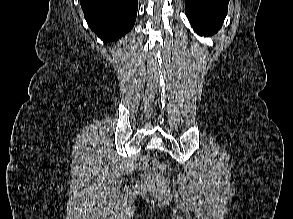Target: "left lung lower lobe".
I'll return each instance as SVG.
<instances>
[{"label":"left lung lower lobe","instance_id":"0a47b994","mask_svg":"<svg viewBox=\"0 0 293 219\" xmlns=\"http://www.w3.org/2000/svg\"><path fill=\"white\" fill-rule=\"evenodd\" d=\"M228 2L229 0H186L185 13L196 31L213 34L222 26Z\"/></svg>","mask_w":293,"mask_h":219}]
</instances>
